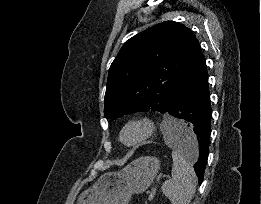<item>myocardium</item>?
Wrapping results in <instances>:
<instances>
[{
  "instance_id": "myocardium-1",
  "label": "myocardium",
  "mask_w": 261,
  "mask_h": 204,
  "mask_svg": "<svg viewBox=\"0 0 261 204\" xmlns=\"http://www.w3.org/2000/svg\"><path fill=\"white\" fill-rule=\"evenodd\" d=\"M131 127H137L140 129V135L132 140V141H125L124 140V133L127 129ZM156 131V124L155 122L147 117V116H135L128 119L120 129L119 132V140L120 142L127 146V147H137L145 143L148 139H150Z\"/></svg>"
}]
</instances>
